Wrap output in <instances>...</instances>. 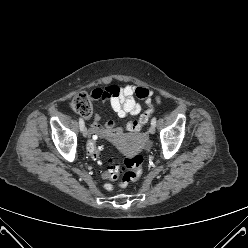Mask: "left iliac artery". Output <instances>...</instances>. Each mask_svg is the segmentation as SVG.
I'll use <instances>...</instances> for the list:
<instances>
[{"label": "left iliac artery", "instance_id": "44dca946", "mask_svg": "<svg viewBox=\"0 0 248 248\" xmlns=\"http://www.w3.org/2000/svg\"><path fill=\"white\" fill-rule=\"evenodd\" d=\"M151 125L156 126V117H153L152 118Z\"/></svg>", "mask_w": 248, "mask_h": 248}]
</instances>
